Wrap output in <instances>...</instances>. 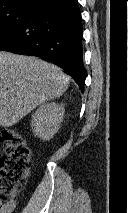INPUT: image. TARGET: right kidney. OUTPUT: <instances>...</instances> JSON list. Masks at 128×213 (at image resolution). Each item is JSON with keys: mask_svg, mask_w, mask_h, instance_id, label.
Wrapping results in <instances>:
<instances>
[{"mask_svg": "<svg viewBox=\"0 0 128 213\" xmlns=\"http://www.w3.org/2000/svg\"><path fill=\"white\" fill-rule=\"evenodd\" d=\"M64 105L55 102L41 105L32 115L31 126L42 140H50L58 131L64 116Z\"/></svg>", "mask_w": 128, "mask_h": 213, "instance_id": "ca27d5eb", "label": "right kidney"}]
</instances>
